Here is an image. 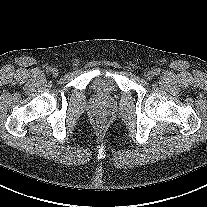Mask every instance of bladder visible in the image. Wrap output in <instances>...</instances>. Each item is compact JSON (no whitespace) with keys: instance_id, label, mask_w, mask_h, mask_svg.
Wrapping results in <instances>:
<instances>
[{"instance_id":"obj_1","label":"bladder","mask_w":207,"mask_h":207,"mask_svg":"<svg viewBox=\"0 0 207 207\" xmlns=\"http://www.w3.org/2000/svg\"><path fill=\"white\" fill-rule=\"evenodd\" d=\"M94 86L98 92L103 93V92H109L112 89H114L115 84H114L113 80H111L109 78L101 77V78H98L95 80Z\"/></svg>"}]
</instances>
